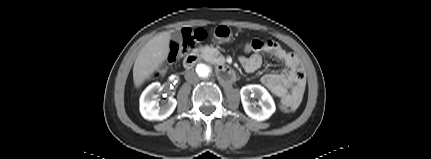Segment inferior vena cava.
<instances>
[{
    "label": "inferior vena cava",
    "mask_w": 431,
    "mask_h": 159,
    "mask_svg": "<svg viewBox=\"0 0 431 159\" xmlns=\"http://www.w3.org/2000/svg\"><path fill=\"white\" fill-rule=\"evenodd\" d=\"M185 79L191 84L197 83L199 80L197 74L193 70L187 71L185 73Z\"/></svg>",
    "instance_id": "obj_1"
}]
</instances>
